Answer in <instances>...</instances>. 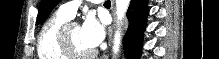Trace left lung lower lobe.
<instances>
[{
  "instance_id": "obj_1",
  "label": "left lung lower lobe",
  "mask_w": 219,
  "mask_h": 59,
  "mask_svg": "<svg viewBox=\"0 0 219 59\" xmlns=\"http://www.w3.org/2000/svg\"><path fill=\"white\" fill-rule=\"evenodd\" d=\"M148 0H131L127 10L128 30L124 37L128 59H139L148 16Z\"/></svg>"
}]
</instances>
